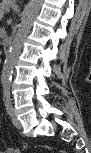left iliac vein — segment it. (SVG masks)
I'll list each match as a JSON object with an SVG mask.
<instances>
[{"label":"left iliac vein","mask_w":91,"mask_h":153,"mask_svg":"<svg viewBox=\"0 0 91 153\" xmlns=\"http://www.w3.org/2000/svg\"><path fill=\"white\" fill-rule=\"evenodd\" d=\"M11 118H12V122H13V125L17 128V129H21L22 128V125H21V122L18 120L14 110L11 114Z\"/></svg>","instance_id":"1"}]
</instances>
